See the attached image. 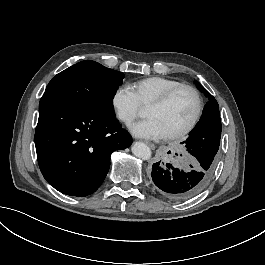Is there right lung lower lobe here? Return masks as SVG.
Instances as JSON below:
<instances>
[{
    "label": "right lung lower lobe",
    "mask_w": 265,
    "mask_h": 265,
    "mask_svg": "<svg viewBox=\"0 0 265 265\" xmlns=\"http://www.w3.org/2000/svg\"><path fill=\"white\" fill-rule=\"evenodd\" d=\"M131 143L132 137L115 117L57 101L39 104L38 163L46 181L61 193L92 194L108 173L111 153Z\"/></svg>",
    "instance_id": "98d812e1"
}]
</instances>
